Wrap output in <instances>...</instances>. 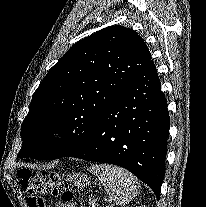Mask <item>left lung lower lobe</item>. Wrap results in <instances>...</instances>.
Instances as JSON below:
<instances>
[{
  "instance_id": "obj_1",
  "label": "left lung lower lobe",
  "mask_w": 206,
  "mask_h": 207,
  "mask_svg": "<svg viewBox=\"0 0 206 207\" xmlns=\"http://www.w3.org/2000/svg\"><path fill=\"white\" fill-rule=\"evenodd\" d=\"M170 119L152 60L105 110L91 141L67 156L121 166L160 197Z\"/></svg>"
}]
</instances>
